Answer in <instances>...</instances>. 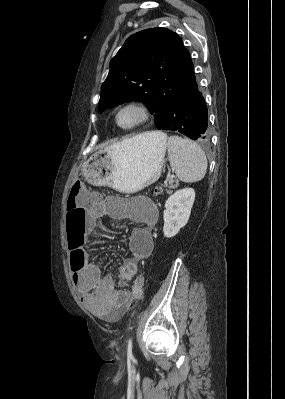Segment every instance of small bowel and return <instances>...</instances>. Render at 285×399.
Instances as JSON below:
<instances>
[{"label":"small bowel","mask_w":285,"mask_h":399,"mask_svg":"<svg viewBox=\"0 0 285 399\" xmlns=\"http://www.w3.org/2000/svg\"><path fill=\"white\" fill-rule=\"evenodd\" d=\"M75 198L79 207L87 206L89 203L87 196L78 195ZM121 202L122 198H111L97 205L96 218L99 219L107 215L126 218L128 214L123 212ZM149 217L154 220L157 215L152 213L149 214ZM135 222L143 223V225L132 229L129 235L130 256L119 270L117 286L114 285L109 274L102 272L101 266L93 260L90 254L85 255L84 266L72 274V282L82 303L101 319L116 321L126 306L134 300L143 298V292L138 296L133 293V289L129 291L125 287L129 281L139 275V262L152 252L154 244L150 233L154 221L145 219L144 212L140 211V216L135 219ZM88 229L85 223L71 224L68 218L66 220L67 233L72 232L82 248L91 243Z\"/></svg>","instance_id":"small-bowel-1"}]
</instances>
